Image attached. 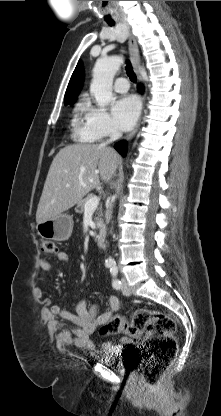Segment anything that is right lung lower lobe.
I'll list each match as a JSON object with an SVG mask.
<instances>
[{"label": "right lung lower lobe", "instance_id": "right-lung-lower-lobe-1", "mask_svg": "<svg viewBox=\"0 0 221 416\" xmlns=\"http://www.w3.org/2000/svg\"><path fill=\"white\" fill-rule=\"evenodd\" d=\"M142 87H139V90L140 91H142ZM126 148H127V145H126V143L125 142H120V143H117L116 145H115V149L122 155V156H125L126 155Z\"/></svg>", "mask_w": 221, "mask_h": 416}]
</instances>
